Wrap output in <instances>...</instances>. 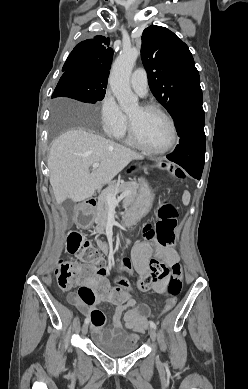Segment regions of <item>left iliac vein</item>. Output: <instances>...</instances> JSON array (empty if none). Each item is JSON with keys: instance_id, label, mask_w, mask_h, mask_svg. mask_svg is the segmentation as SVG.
<instances>
[{"instance_id": "1", "label": "left iliac vein", "mask_w": 248, "mask_h": 389, "mask_svg": "<svg viewBox=\"0 0 248 389\" xmlns=\"http://www.w3.org/2000/svg\"><path fill=\"white\" fill-rule=\"evenodd\" d=\"M149 335H150V338H151L152 342L155 343V342H156L157 335H156V331H155L154 328L151 327V328L149 329Z\"/></svg>"}]
</instances>
